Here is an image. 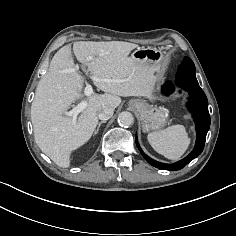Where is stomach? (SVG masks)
I'll list each match as a JSON object with an SVG mask.
<instances>
[{"instance_id":"1","label":"stomach","mask_w":236,"mask_h":236,"mask_svg":"<svg viewBox=\"0 0 236 236\" xmlns=\"http://www.w3.org/2000/svg\"><path fill=\"white\" fill-rule=\"evenodd\" d=\"M130 57L136 61L147 62L151 65H160L163 60V55L158 50L152 48H138ZM134 103L135 100L130 102L131 105ZM137 111L145 132L161 129L166 124L169 116L168 109L145 102H142L141 107Z\"/></svg>"}]
</instances>
